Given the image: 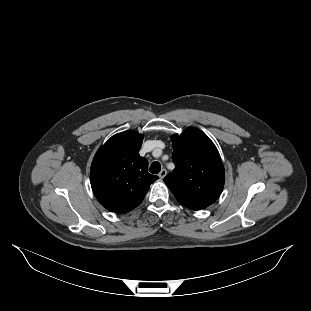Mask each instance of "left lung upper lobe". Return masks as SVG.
Instances as JSON below:
<instances>
[{
    "mask_svg": "<svg viewBox=\"0 0 311 311\" xmlns=\"http://www.w3.org/2000/svg\"><path fill=\"white\" fill-rule=\"evenodd\" d=\"M175 169L164 182L183 206L200 210L214 203L225 181L224 166L210 138L195 127L172 136Z\"/></svg>",
    "mask_w": 311,
    "mask_h": 311,
    "instance_id": "5c2ea615",
    "label": "left lung upper lobe"
}]
</instances>
